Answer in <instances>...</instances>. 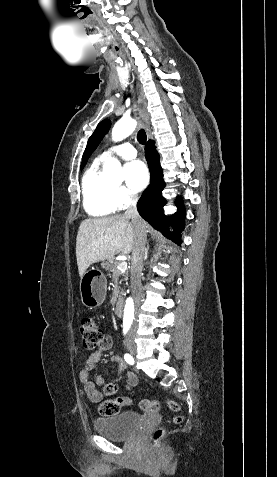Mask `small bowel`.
<instances>
[{
	"mask_svg": "<svg viewBox=\"0 0 277 477\" xmlns=\"http://www.w3.org/2000/svg\"><path fill=\"white\" fill-rule=\"evenodd\" d=\"M113 346V341L110 337H104L101 339L98 350L91 354L83 364V368L80 370L79 379L83 385L84 392L92 402H100L102 399V394L98 391L97 386H103L105 379L101 375H97L94 380L90 379V371L95 368L97 363L100 361L102 353L106 350L111 349ZM110 362L117 363L119 367L120 375H123L126 365L124 361L117 355L110 357ZM138 383L136 375L132 373L126 374V388L131 389L135 387ZM123 405H130L131 400L128 398L123 399Z\"/></svg>",
	"mask_w": 277,
	"mask_h": 477,
	"instance_id": "obj_1",
	"label": "small bowel"
}]
</instances>
